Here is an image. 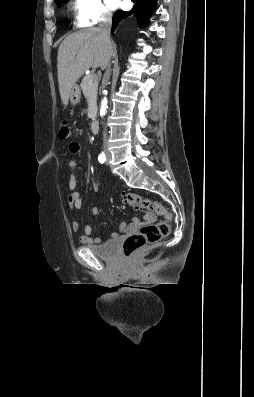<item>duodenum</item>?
I'll return each mask as SVG.
<instances>
[{"instance_id":"obj_1","label":"duodenum","mask_w":254,"mask_h":397,"mask_svg":"<svg viewBox=\"0 0 254 397\" xmlns=\"http://www.w3.org/2000/svg\"><path fill=\"white\" fill-rule=\"evenodd\" d=\"M90 127H91L92 133H94V134L98 133V131H99V123H98L97 120H93L91 122Z\"/></svg>"}]
</instances>
